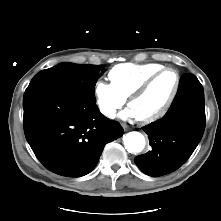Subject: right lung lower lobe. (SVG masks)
<instances>
[{
	"instance_id": "1",
	"label": "right lung lower lobe",
	"mask_w": 221,
	"mask_h": 221,
	"mask_svg": "<svg viewBox=\"0 0 221 221\" xmlns=\"http://www.w3.org/2000/svg\"><path fill=\"white\" fill-rule=\"evenodd\" d=\"M24 132L39 161L50 171L80 177L96 166L104 146L123 135L117 121L95 102L36 91L24 94Z\"/></svg>"
}]
</instances>
